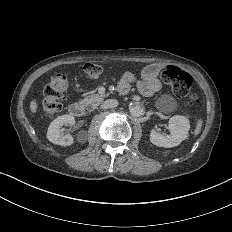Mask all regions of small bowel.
Instances as JSON below:
<instances>
[{"label": "small bowel", "instance_id": "small-bowel-1", "mask_svg": "<svg viewBox=\"0 0 232 232\" xmlns=\"http://www.w3.org/2000/svg\"><path fill=\"white\" fill-rule=\"evenodd\" d=\"M159 68L157 64L150 65L142 74L143 81L140 87L146 97H152L160 88V83L156 78Z\"/></svg>", "mask_w": 232, "mask_h": 232}]
</instances>
